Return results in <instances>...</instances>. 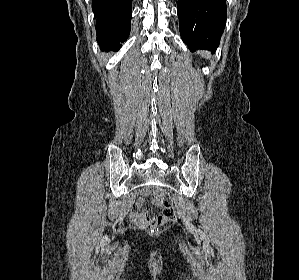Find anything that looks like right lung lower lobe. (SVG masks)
Instances as JSON below:
<instances>
[{"label":"right lung lower lobe","mask_w":299,"mask_h":280,"mask_svg":"<svg viewBox=\"0 0 299 280\" xmlns=\"http://www.w3.org/2000/svg\"><path fill=\"white\" fill-rule=\"evenodd\" d=\"M99 46L118 51L130 33L132 0H92Z\"/></svg>","instance_id":"obj_1"}]
</instances>
